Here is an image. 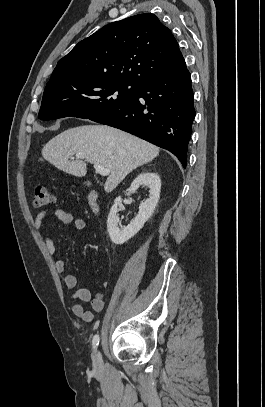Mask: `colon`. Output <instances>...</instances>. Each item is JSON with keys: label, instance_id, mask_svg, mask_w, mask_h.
<instances>
[{"label": "colon", "instance_id": "colon-1", "mask_svg": "<svg viewBox=\"0 0 265 407\" xmlns=\"http://www.w3.org/2000/svg\"><path fill=\"white\" fill-rule=\"evenodd\" d=\"M53 202V195L46 185H38L34 194V206L43 207L48 206Z\"/></svg>", "mask_w": 265, "mask_h": 407}]
</instances>
